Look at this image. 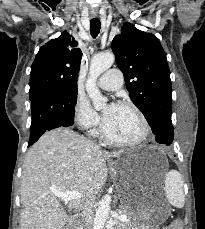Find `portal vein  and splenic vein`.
<instances>
[{"label": "portal vein and splenic vein", "mask_w": 205, "mask_h": 229, "mask_svg": "<svg viewBox=\"0 0 205 229\" xmlns=\"http://www.w3.org/2000/svg\"><path fill=\"white\" fill-rule=\"evenodd\" d=\"M52 193L63 200L65 203L69 202L70 200H76L81 198V193L76 192V191H70V192H61L57 190H53ZM127 217L126 216H120V220H125Z\"/></svg>", "instance_id": "portal-vein-and-splenic-vein-1"}]
</instances>
